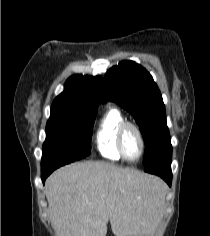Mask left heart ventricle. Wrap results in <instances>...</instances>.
<instances>
[{"mask_svg": "<svg viewBox=\"0 0 210 236\" xmlns=\"http://www.w3.org/2000/svg\"><path fill=\"white\" fill-rule=\"evenodd\" d=\"M123 150L125 155L134 159L138 156L140 151V141L134 129L128 128L123 136Z\"/></svg>", "mask_w": 210, "mask_h": 236, "instance_id": "b2bd125f", "label": "left heart ventricle"}]
</instances>
